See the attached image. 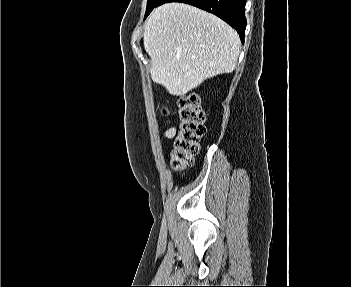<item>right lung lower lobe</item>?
Returning a JSON list of instances; mask_svg holds the SVG:
<instances>
[{
	"label": "right lung lower lobe",
	"mask_w": 351,
	"mask_h": 287,
	"mask_svg": "<svg viewBox=\"0 0 351 287\" xmlns=\"http://www.w3.org/2000/svg\"><path fill=\"white\" fill-rule=\"evenodd\" d=\"M168 2H181L208 11L226 23L231 25L238 32L242 43L246 29L245 3L246 0H160L157 6ZM156 6V7H157Z\"/></svg>",
	"instance_id": "98d812e1"
}]
</instances>
